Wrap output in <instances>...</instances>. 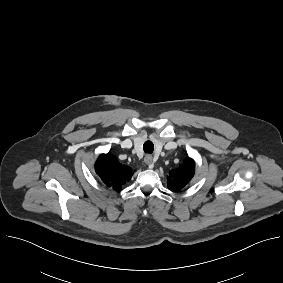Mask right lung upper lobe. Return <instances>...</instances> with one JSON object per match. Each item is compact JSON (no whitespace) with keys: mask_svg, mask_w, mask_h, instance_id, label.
<instances>
[{"mask_svg":"<svg viewBox=\"0 0 283 283\" xmlns=\"http://www.w3.org/2000/svg\"><path fill=\"white\" fill-rule=\"evenodd\" d=\"M95 171L101 177L102 181L114 190H120L133 175L130 167L120 164L110 154L99 156L95 164Z\"/></svg>","mask_w":283,"mask_h":283,"instance_id":"right-lung-upper-lobe-1","label":"right lung upper lobe"}]
</instances>
